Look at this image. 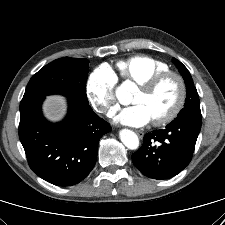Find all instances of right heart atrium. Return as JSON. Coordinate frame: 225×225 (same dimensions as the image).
Here are the masks:
<instances>
[{"instance_id":"d8ad5b80","label":"right heart atrium","mask_w":225,"mask_h":225,"mask_svg":"<svg viewBox=\"0 0 225 225\" xmlns=\"http://www.w3.org/2000/svg\"><path fill=\"white\" fill-rule=\"evenodd\" d=\"M117 78L107 66L95 69L89 76L86 91L90 104L98 111L109 114L115 103Z\"/></svg>"}]
</instances>
